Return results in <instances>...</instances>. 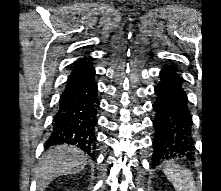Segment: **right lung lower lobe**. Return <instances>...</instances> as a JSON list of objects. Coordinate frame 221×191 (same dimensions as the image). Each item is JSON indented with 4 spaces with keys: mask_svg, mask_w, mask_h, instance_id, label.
<instances>
[{
    "mask_svg": "<svg viewBox=\"0 0 221 191\" xmlns=\"http://www.w3.org/2000/svg\"><path fill=\"white\" fill-rule=\"evenodd\" d=\"M94 77L91 58L75 62L61 95L53 129L45 147L67 143L76 145L95 157V126L100 102Z\"/></svg>",
    "mask_w": 221,
    "mask_h": 191,
    "instance_id": "1",
    "label": "right lung lower lobe"
}]
</instances>
